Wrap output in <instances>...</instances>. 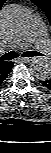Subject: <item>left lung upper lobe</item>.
I'll use <instances>...</instances> for the list:
<instances>
[{"label":"left lung upper lobe","mask_w":51,"mask_h":153,"mask_svg":"<svg viewBox=\"0 0 51 153\" xmlns=\"http://www.w3.org/2000/svg\"><path fill=\"white\" fill-rule=\"evenodd\" d=\"M37 7H39L43 12H45L51 23V0H31Z\"/></svg>","instance_id":"obj_1"}]
</instances>
